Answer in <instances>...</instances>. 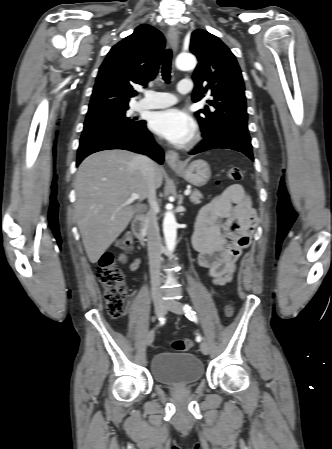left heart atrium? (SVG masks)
Segmentation results:
<instances>
[{"label": "left heart atrium", "instance_id": "left-heart-atrium-1", "mask_svg": "<svg viewBox=\"0 0 332 449\" xmlns=\"http://www.w3.org/2000/svg\"><path fill=\"white\" fill-rule=\"evenodd\" d=\"M150 128L176 144L186 143L194 133L192 119L178 109L155 112L150 120Z\"/></svg>", "mask_w": 332, "mask_h": 449}]
</instances>
